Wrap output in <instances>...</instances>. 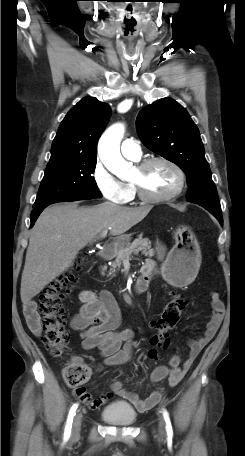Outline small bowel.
<instances>
[{
    "label": "small bowel",
    "instance_id": "obj_1",
    "mask_svg": "<svg viewBox=\"0 0 245 456\" xmlns=\"http://www.w3.org/2000/svg\"><path fill=\"white\" fill-rule=\"evenodd\" d=\"M154 269V262L149 260L144 272L150 273ZM78 297L82 306L72 317L70 325L74 330L81 332L82 346L87 350L97 349L104 358L103 364L107 366L130 361L134 347V331L131 329L117 331L121 314L112 294L107 290H102L97 294L84 289L80 291ZM210 301L213 310L206 329L203 335L188 341L190 351L186 360L181 364L178 355L172 356L168 366L161 365L153 370L151 374L153 382L168 379L171 387L178 385L199 353L214 337L222 323L225 307L218 293L212 292ZM24 316L31 331L40 335V319L34 302L30 301L25 304ZM75 394L91 409L103 406L116 394L130 401L138 410L144 411L152 408L161 400L163 389L158 388L145 399H141L137 394L124 389L120 381H115L110 393L97 398H93L84 387L76 388Z\"/></svg>",
    "mask_w": 245,
    "mask_h": 456
}]
</instances>
